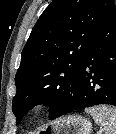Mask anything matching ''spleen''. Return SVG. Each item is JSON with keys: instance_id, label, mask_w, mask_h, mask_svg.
Listing matches in <instances>:
<instances>
[{"instance_id": "obj_1", "label": "spleen", "mask_w": 116, "mask_h": 134, "mask_svg": "<svg viewBox=\"0 0 116 134\" xmlns=\"http://www.w3.org/2000/svg\"><path fill=\"white\" fill-rule=\"evenodd\" d=\"M105 134H116V108L100 105L85 109Z\"/></svg>"}]
</instances>
